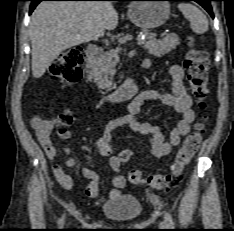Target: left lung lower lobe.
Returning a JSON list of instances; mask_svg holds the SVG:
<instances>
[{
  "label": "left lung lower lobe",
  "instance_id": "1",
  "mask_svg": "<svg viewBox=\"0 0 234 231\" xmlns=\"http://www.w3.org/2000/svg\"><path fill=\"white\" fill-rule=\"evenodd\" d=\"M124 1H133V0H124ZM169 1H195L199 3L205 10H207L212 18H214L212 8L210 5V1H214V0H169Z\"/></svg>",
  "mask_w": 234,
  "mask_h": 231
}]
</instances>
